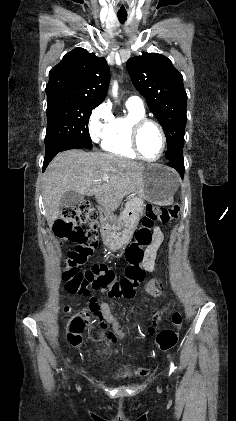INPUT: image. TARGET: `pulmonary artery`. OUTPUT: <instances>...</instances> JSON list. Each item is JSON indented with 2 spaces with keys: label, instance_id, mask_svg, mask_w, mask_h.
Wrapping results in <instances>:
<instances>
[{
  "label": "pulmonary artery",
  "instance_id": "1",
  "mask_svg": "<svg viewBox=\"0 0 236 421\" xmlns=\"http://www.w3.org/2000/svg\"><path fill=\"white\" fill-rule=\"evenodd\" d=\"M128 102H133V103H137V104H141V105H143V102H142V100L139 98V97H130L129 99H128Z\"/></svg>",
  "mask_w": 236,
  "mask_h": 421
}]
</instances>
